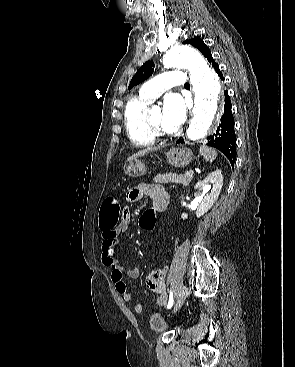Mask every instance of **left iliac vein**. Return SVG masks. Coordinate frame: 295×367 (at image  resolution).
Instances as JSON below:
<instances>
[{
	"mask_svg": "<svg viewBox=\"0 0 295 367\" xmlns=\"http://www.w3.org/2000/svg\"><path fill=\"white\" fill-rule=\"evenodd\" d=\"M186 297H187V288L186 286L183 285L178 289V296H177L176 303L173 309L174 313L177 312L181 308V306L184 304L186 300Z\"/></svg>",
	"mask_w": 295,
	"mask_h": 367,
	"instance_id": "4c4485c4",
	"label": "left iliac vein"
}]
</instances>
